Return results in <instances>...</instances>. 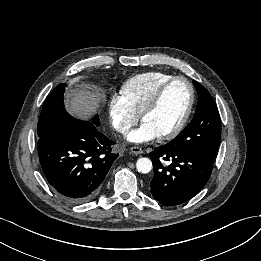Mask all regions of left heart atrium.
I'll return each mask as SVG.
<instances>
[{
    "mask_svg": "<svg viewBox=\"0 0 261 261\" xmlns=\"http://www.w3.org/2000/svg\"><path fill=\"white\" fill-rule=\"evenodd\" d=\"M159 135L146 123H143L140 128L131 132L128 135V140L131 142L142 143L158 138Z\"/></svg>",
    "mask_w": 261,
    "mask_h": 261,
    "instance_id": "39dd6f15",
    "label": "left heart atrium"
}]
</instances>
